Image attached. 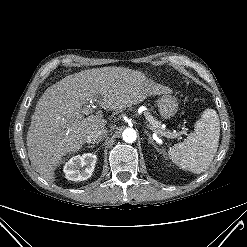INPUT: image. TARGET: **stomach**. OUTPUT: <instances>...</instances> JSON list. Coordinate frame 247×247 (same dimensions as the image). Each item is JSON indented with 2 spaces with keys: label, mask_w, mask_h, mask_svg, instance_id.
I'll list each match as a JSON object with an SVG mask.
<instances>
[{
  "label": "stomach",
  "mask_w": 247,
  "mask_h": 247,
  "mask_svg": "<svg viewBox=\"0 0 247 247\" xmlns=\"http://www.w3.org/2000/svg\"><path fill=\"white\" fill-rule=\"evenodd\" d=\"M158 110L164 119H169L174 116L178 110V102L171 95H163L158 100Z\"/></svg>",
  "instance_id": "1"
}]
</instances>
